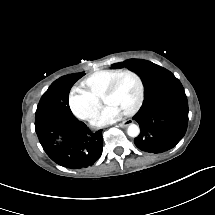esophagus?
Masks as SVG:
<instances>
[{
  "instance_id": "esophagus-1",
  "label": "esophagus",
  "mask_w": 215,
  "mask_h": 215,
  "mask_svg": "<svg viewBox=\"0 0 215 215\" xmlns=\"http://www.w3.org/2000/svg\"><path fill=\"white\" fill-rule=\"evenodd\" d=\"M132 123H133V120H132V119H128V120H126V121L120 123L119 126H120V127H126V126H128V125H130V124H132Z\"/></svg>"
}]
</instances>
